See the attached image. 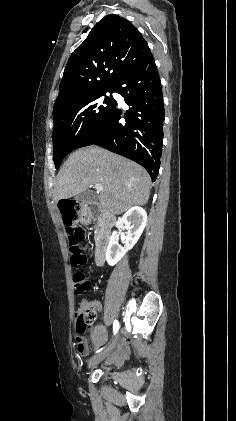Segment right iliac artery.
<instances>
[{
  "label": "right iliac artery",
  "mask_w": 236,
  "mask_h": 421,
  "mask_svg": "<svg viewBox=\"0 0 236 421\" xmlns=\"http://www.w3.org/2000/svg\"><path fill=\"white\" fill-rule=\"evenodd\" d=\"M118 330H119V322L117 320H114V322H113V332H114V334H116L118 332ZM102 349H99L97 352H100Z\"/></svg>",
  "instance_id": "82829eb1"
}]
</instances>
